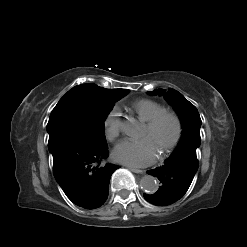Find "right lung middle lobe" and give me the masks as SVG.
Wrapping results in <instances>:
<instances>
[{"label":"right lung middle lobe","instance_id":"1","mask_svg":"<svg viewBox=\"0 0 247 247\" xmlns=\"http://www.w3.org/2000/svg\"><path fill=\"white\" fill-rule=\"evenodd\" d=\"M130 91L95 84L73 87L57 103L47 124L49 134L65 133L94 146H106L104 120L116 101Z\"/></svg>","mask_w":247,"mask_h":247}]
</instances>
